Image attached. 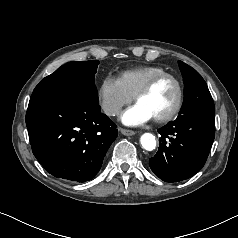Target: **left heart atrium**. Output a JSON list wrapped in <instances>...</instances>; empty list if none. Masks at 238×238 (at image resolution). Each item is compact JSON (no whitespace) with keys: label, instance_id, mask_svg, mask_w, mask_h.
Here are the masks:
<instances>
[{"label":"left heart atrium","instance_id":"obj_1","mask_svg":"<svg viewBox=\"0 0 238 238\" xmlns=\"http://www.w3.org/2000/svg\"><path fill=\"white\" fill-rule=\"evenodd\" d=\"M152 118L151 113L138 103L128 108L121 116L122 122L129 126L141 125Z\"/></svg>","mask_w":238,"mask_h":238}]
</instances>
